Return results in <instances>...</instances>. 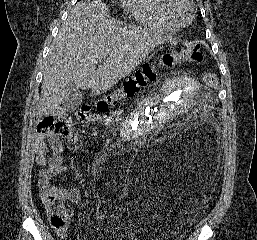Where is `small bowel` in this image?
<instances>
[{"instance_id":"small-bowel-1","label":"small bowel","mask_w":257,"mask_h":240,"mask_svg":"<svg viewBox=\"0 0 257 240\" xmlns=\"http://www.w3.org/2000/svg\"><path fill=\"white\" fill-rule=\"evenodd\" d=\"M79 134L71 123L64 124L63 129L60 132H39L35 139V152L36 163L42 168L38 172V185L40 191L46 192L56 187L51 184V178L67 173L72 168L63 163L62 159V144L61 139H65L68 142L74 144L78 141ZM52 149V155H48V147ZM66 199L73 204H77L81 201V192L77 187H70L63 190ZM59 236H65L66 229L57 230ZM124 234L130 240H138L135 232L131 229H126Z\"/></svg>"}]
</instances>
